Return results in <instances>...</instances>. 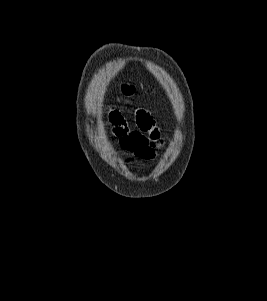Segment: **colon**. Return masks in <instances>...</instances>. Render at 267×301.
Masks as SVG:
<instances>
[{
  "label": "colon",
  "instance_id": "5ec220e1",
  "mask_svg": "<svg viewBox=\"0 0 267 301\" xmlns=\"http://www.w3.org/2000/svg\"><path fill=\"white\" fill-rule=\"evenodd\" d=\"M133 87L129 86V85H124L122 87V91L125 95H131L133 93Z\"/></svg>",
  "mask_w": 267,
  "mask_h": 301
}]
</instances>
